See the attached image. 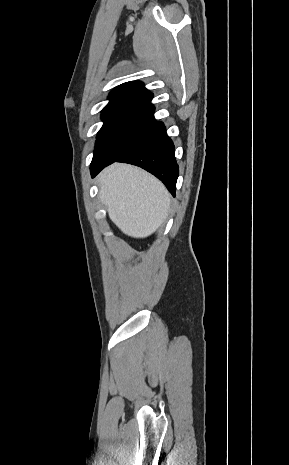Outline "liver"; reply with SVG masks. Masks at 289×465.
I'll return each mask as SVG.
<instances>
[{
  "label": "liver",
  "instance_id": "1",
  "mask_svg": "<svg viewBox=\"0 0 289 465\" xmlns=\"http://www.w3.org/2000/svg\"><path fill=\"white\" fill-rule=\"evenodd\" d=\"M99 198L111 221L126 235L145 238L166 220L170 195L165 186L146 171L114 163L98 176Z\"/></svg>",
  "mask_w": 289,
  "mask_h": 465
}]
</instances>
